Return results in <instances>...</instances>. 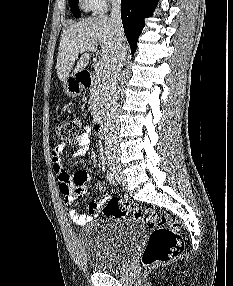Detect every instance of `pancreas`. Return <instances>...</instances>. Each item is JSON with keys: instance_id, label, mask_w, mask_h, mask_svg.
<instances>
[{"instance_id": "obj_1", "label": "pancreas", "mask_w": 233, "mask_h": 286, "mask_svg": "<svg viewBox=\"0 0 233 286\" xmlns=\"http://www.w3.org/2000/svg\"><path fill=\"white\" fill-rule=\"evenodd\" d=\"M94 85L90 88L89 105L94 120H97L103 112L105 103V86L101 83V77L96 76Z\"/></svg>"}]
</instances>
